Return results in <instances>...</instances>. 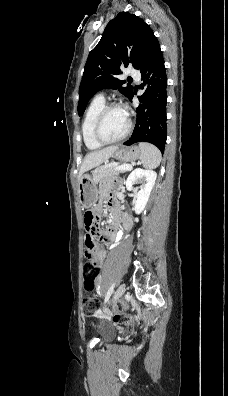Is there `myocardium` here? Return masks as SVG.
<instances>
[{
  "label": "myocardium",
  "instance_id": "obj_1",
  "mask_svg": "<svg viewBox=\"0 0 228 396\" xmlns=\"http://www.w3.org/2000/svg\"><path fill=\"white\" fill-rule=\"evenodd\" d=\"M116 108L122 109L126 113V111L124 110V108L120 104H118V103H109V104H106L100 110V112L98 113V115H97V117L95 119L94 127H93V135H94V138L96 139V141L99 142L102 145H108V144H113V143H117L119 141H122L130 134V132L132 130L131 118L126 113L127 119H128V124H127V128L124 131V133L122 135H120L119 137L114 138V139H107V138H105L103 136L102 125H103L104 118H105L106 114L110 110L116 109Z\"/></svg>",
  "mask_w": 228,
  "mask_h": 396
}]
</instances>
